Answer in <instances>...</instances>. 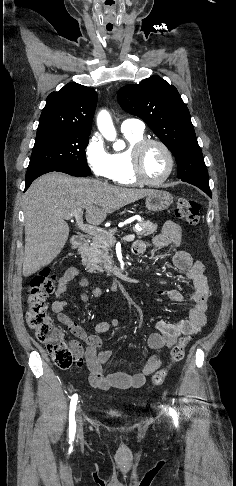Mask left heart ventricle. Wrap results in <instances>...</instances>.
Returning a JSON list of instances; mask_svg holds the SVG:
<instances>
[{"label": "left heart ventricle", "mask_w": 236, "mask_h": 486, "mask_svg": "<svg viewBox=\"0 0 236 486\" xmlns=\"http://www.w3.org/2000/svg\"><path fill=\"white\" fill-rule=\"evenodd\" d=\"M142 167L148 179H160L168 169V159L163 149L155 144L148 146L143 153Z\"/></svg>", "instance_id": "b2bd125f"}]
</instances>
